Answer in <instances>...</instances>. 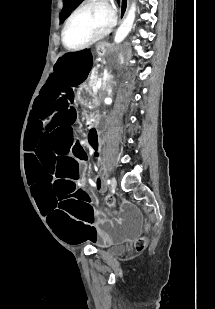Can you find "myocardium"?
Segmentation results:
<instances>
[{
  "mask_svg": "<svg viewBox=\"0 0 215 309\" xmlns=\"http://www.w3.org/2000/svg\"><path fill=\"white\" fill-rule=\"evenodd\" d=\"M90 9H98L105 12H108L109 15L106 16L108 20L107 23H103L101 27H94L92 31V39L89 41L80 44L78 46H69L66 42V33L67 30L72 23V21L77 17L80 13L90 10ZM115 25V12L113 9H108V7L104 4H87L76 9L66 20L63 29L61 31V41L65 48H89L92 44L98 41L100 38H107V34H111L113 32V27Z\"/></svg>",
  "mask_w": 215,
  "mask_h": 309,
  "instance_id": "1",
  "label": "myocardium"
}]
</instances>
